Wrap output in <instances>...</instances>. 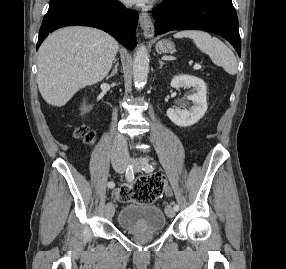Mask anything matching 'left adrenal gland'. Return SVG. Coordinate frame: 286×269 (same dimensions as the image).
<instances>
[{"label":"left adrenal gland","mask_w":286,"mask_h":269,"mask_svg":"<svg viewBox=\"0 0 286 269\" xmlns=\"http://www.w3.org/2000/svg\"><path fill=\"white\" fill-rule=\"evenodd\" d=\"M159 64H160V69L162 68V66H163V64H164V62L163 61H161V60H159Z\"/></svg>","instance_id":"1"}]
</instances>
